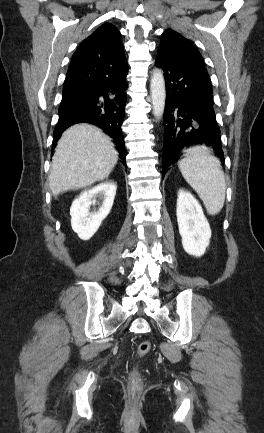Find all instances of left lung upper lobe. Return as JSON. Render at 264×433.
<instances>
[{"label": "left lung upper lobe", "mask_w": 264, "mask_h": 433, "mask_svg": "<svg viewBox=\"0 0 264 433\" xmlns=\"http://www.w3.org/2000/svg\"><path fill=\"white\" fill-rule=\"evenodd\" d=\"M157 55L184 68L206 71L202 55L194 43L172 29L163 32Z\"/></svg>", "instance_id": "left-lung-upper-lobe-1"}]
</instances>
